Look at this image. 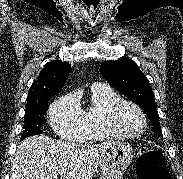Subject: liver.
I'll use <instances>...</instances> for the list:
<instances>
[{"label": "liver", "mask_w": 183, "mask_h": 179, "mask_svg": "<svg viewBox=\"0 0 183 179\" xmlns=\"http://www.w3.org/2000/svg\"><path fill=\"white\" fill-rule=\"evenodd\" d=\"M115 143L82 145L53 140L45 135L31 136L17 147L10 179H92L106 152Z\"/></svg>", "instance_id": "6515ba94"}]
</instances>
